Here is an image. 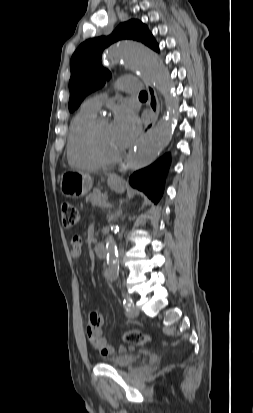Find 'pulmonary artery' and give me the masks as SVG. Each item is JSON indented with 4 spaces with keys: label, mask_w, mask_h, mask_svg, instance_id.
<instances>
[{
    "label": "pulmonary artery",
    "mask_w": 253,
    "mask_h": 413,
    "mask_svg": "<svg viewBox=\"0 0 253 413\" xmlns=\"http://www.w3.org/2000/svg\"><path fill=\"white\" fill-rule=\"evenodd\" d=\"M120 88L124 91L136 92V91H139L141 87L139 84H135V85L124 84V85H121ZM101 104H102V97L94 96L92 98L87 99L83 103V107L92 112L97 113L101 107Z\"/></svg>",
    "instance_id": "pulmonary-artery-1"
}]
</instances>
